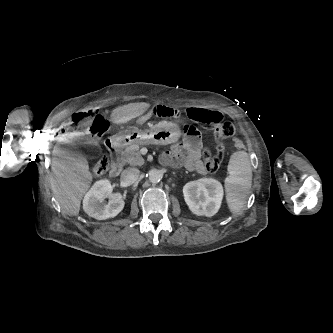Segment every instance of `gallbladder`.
Masks as SVG:
<instances>
[{
    "instance_id": "1",
    "label": "gallbladder",
    "mask_w": 333,
    "mask_h": 333,
    "mask_svg": "<svg viewBox=\"0 0 333 333\" xmlns=\"http://www.w3.org/2000/svg\"><path fill=\"white\" fill-rule=\"evenodd\" d=\"M74 141L79 145H84L87 151L93 154L97 151V141L94 139H88L85 135L77 136Z\"/></svg>"
}]
</instances>
